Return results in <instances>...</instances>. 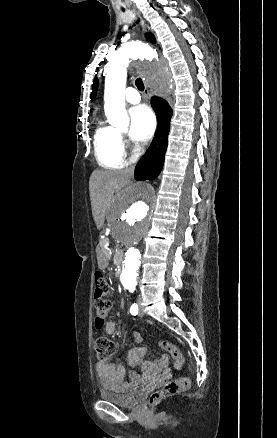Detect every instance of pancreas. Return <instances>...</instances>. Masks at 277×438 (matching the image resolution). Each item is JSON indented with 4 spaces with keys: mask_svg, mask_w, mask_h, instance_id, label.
Masks as SVG:
<instances>
[{
    "mask_svg": "<svg viewBox=\"0 0 277 438\" xmlns=\"http://www.w3.org/2000/svg\"><path fill=\"white\" fill-rule=\"evenodd\" d=\"M111 237L110 232L105 231L102 234V237L100 238L101 243L97 244L96 250L97 253H113L115 250V247L113 244H106Z\"/></svg>",
    "mask_w": 277,
    "mask_h": 438,
    "instance_id": "cf45deb5",
    "label": "pancreas"
}]
</instances>
